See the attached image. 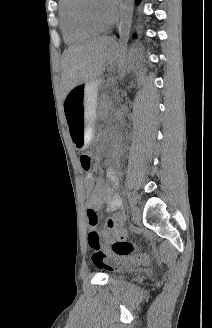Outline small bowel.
Here are the masks:
<instances>
[{
	"label": "small bowel",
	"instance_id": "small-bowel-1",
	"mask_svg": "<svg viewBox=\"0 0 212 328\" xmlns=\"http://www.w3.org/2000/svg\"><path fill=\"white\" fill-rule=\"evenodd\" d=\"M84 185L89 193L87 206L89 209L98 211L106 204L109 212H116L113 216L107 217L104 220L103 236L107 242L116 239H125L127 230L124 227L125 215L120 211L122 208V199L115 191L116 172L114 169H109L106 173V178L95 181L90 170H84ZM98 221L90 224L95 227Z\"/></svg>",
	"mask_w": 212,
	"mask_h": 328
}]
</instances>
